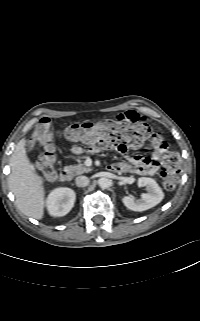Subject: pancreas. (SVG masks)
I'll return each instance as SVG.
<instances>
[{"instance_id":"cf45deb5","label":"pancreas","mask_w":200,"mask_h":321,"mask_svg":"<svg viewBox=\"0 0 200 321\" xmlns=\"http://www.w3.org/2000/svg\"><path fill=\"white\" fill-rule=\"evenodd\" d=\"M68 169L73 172L75 175H80V174H83V173H88L90 172L92 169L91 168H88L86 167L84 164L82 163H79L77 165H72V166H69Z\"/></svg>"}]
</instances>
